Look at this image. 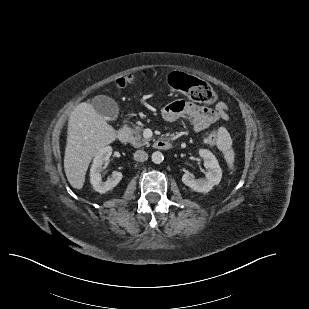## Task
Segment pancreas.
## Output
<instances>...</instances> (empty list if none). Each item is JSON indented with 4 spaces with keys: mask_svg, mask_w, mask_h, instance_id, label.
I'll use <instances>...</instances> for the list:
<instances>
[{
    "mask_svg": "<svg viewBox=\"0 0 309 309\" xmlns=\"http://www.w3.org/2000/svg\"><path fill=\"white\" fill-rule=\"evenodd\" d=\"M132 134H133V137H132L131 143L134 147L139 148V147H142L144 145L149 144V140L142 137V128L141 127L135 126L132 129Z\"/></svg>",
    "mask_w": 309,
    "mask_h": 309,
    "instance_id": "1",
    "label": "pancreas"
}]
</instances>
